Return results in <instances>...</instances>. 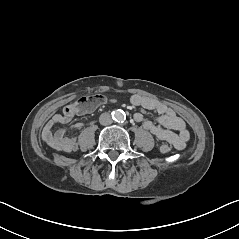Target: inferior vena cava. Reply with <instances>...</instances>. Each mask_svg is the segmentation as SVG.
I'll use <instances>...</instances> for the list:
<instances>
[{
  "label": "inferior vena cava",
  "instance_id": "inferior-vena-cava-1",
  "mask_svg": "<svg viewBox=\"0 0 239 239\" xmlns=\"http://www.w3.org/2000/svg\"><path fill=\"white\" fill-rule=\"evenodd\" d=\"M99 122L101 125H110L113 122L111 115L107 112L102 113L99 117Z\"/></svg>",
  "mask_w": 239,
  "mask_h": 239
}]
</instances>
